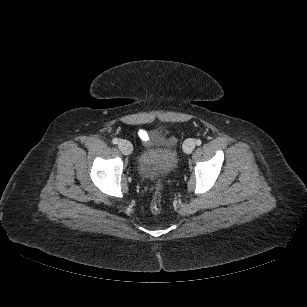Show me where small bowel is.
<instances>
[{"instance_id": "c3829d8e", "label": "small bowel", "mask_w": 307, "mask_h": 307, "mask_svg": "<svg viewBox=\"0 0 307 307\" xmlns=\"http://www.w3.org/2000/svg\"><path fill=\"white\" fill-rule=\"evenodd\" d=\"M138 135L140 139L145 143H149L151 140L150 134L146 130L143 129L139 130Z\"/></svg>"}]
</instances>
